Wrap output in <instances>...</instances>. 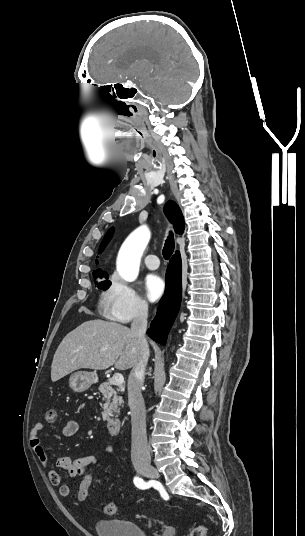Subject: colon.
<instances>
[{
	"label": "colon",
	"instance_id": "1",
	"mask_svg": "<svg viewBox=\"0 0 305 536\" xmlns=\"http://www.w3.org/2000/svg\"><path fill=\"white\" fill-rule=\"evenodd\" d=\"M55 416V410L50 409L46 412V419L47 421H51ZM88 480H92V477H88ZM90 487L91 484L88 481L83 482V484L79 488L78 492V502L80 504H85L87 502V498L90 495ZM117 506L114 502H106L104 505V512L106 514H116L117 512ZM189 536H206V529L203 526H198L195 529L191 531Z\"/></svg>",
	"mask_w": 305,
	"mask_h": 536
}]
</instances>
